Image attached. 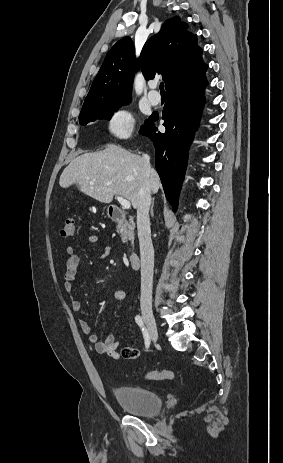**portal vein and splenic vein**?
Instances as JSON below:
<instances>
[{
    "instance_id": "18ae733b",
    "label": "portal vein and splenic vein",
    "mask_w": 283,
    "mask_h": 463,
    "mask_svg": "<svg viewBox=\"0 0 283 463\" xmlns=\"http://www.w3.org/2000/svg\"><path fill=\"white\" fill-rule=\"evenodd\" d=\"M91 183H93V182H91ZM116 199L119 201V203L122 205V207L124 209H129L130 208L131 204H130L129 200H127V199H125V198H123L122 196H119V195L116 196Z\"/></svg>"
}]
</instances>
